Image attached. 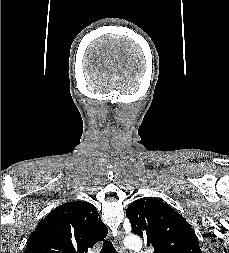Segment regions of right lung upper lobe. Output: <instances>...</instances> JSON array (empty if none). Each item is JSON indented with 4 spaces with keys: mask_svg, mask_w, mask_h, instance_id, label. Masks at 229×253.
Segmentation results:
<instances>
[{
    "mask_svg": "<svg viewBox=\"0 0 229 253\" xmlns=\"http://www.w3.org/2000/svg\"><path fill=\"white\" fill-rule=\"evenodd\" d=\"M107 232L93 204L67 202L39 222L24 253H87Z\"/></svg>",
    "mask_w": 229,
    "mask_h": 253,
    "instance_id": "obj_1",
    "label": "right lung upper lobe"
}]
</instances>
